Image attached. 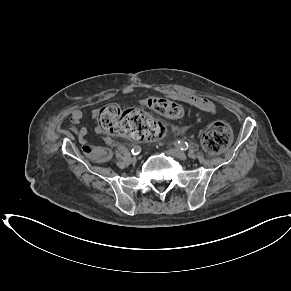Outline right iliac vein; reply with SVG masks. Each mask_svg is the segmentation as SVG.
Here are the masks:
<instances>
[{"mask_svg":"<svg viewBox=\"0 0 291 291\" xmlns=\"http://www.w3.org/2000/svg\"><path fill=\"white\" fill-rule=\"evenodd\" d=\"M131 161H132V163H135L137 161V157H135V156L132 157Z\"/></svg>","mask_w":291,"mask_h":291,"instance_id":"right-iliac-vein-1","label":"right iliac vein"}]
</instances>
